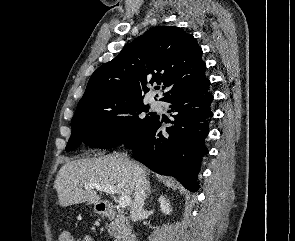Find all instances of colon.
I'll list each match as a JSON object with an SVG mask.
<instances>
[{"label":"colon","instance_id":"obj_1","mask_svg":"<svg viewBox=\"0 0 295 241\" xmlns=\"http://www.w3.org/2000/svg\"><path fill=\"white\" fill-rule=\"evenodd\" d=\"M60 241H74L73 236L69 232H63L60 235Z\"/></svg>","mask_w":295,"mask_h":241}]
</instances>
